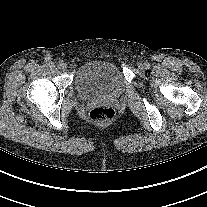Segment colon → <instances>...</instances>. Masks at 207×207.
<instances>
[{
	"mask_svg": "<svg viewBox=\"0 0 207 207\" xmlns=\"http://www.w3.org/2000/svg\"><path fill=\"white\" fill-rule=\"evenodd\" d=\"M89 117L95 124L105 125L114 119L115 110L109 106H98L91 110Z\"/></svg>",
	"mask_w": 207,
	"mask_h": 207,
	"instance_id": "5ec220e1",
	"label": "colon"
}]
</instances>
